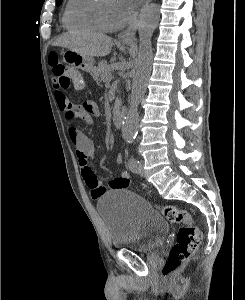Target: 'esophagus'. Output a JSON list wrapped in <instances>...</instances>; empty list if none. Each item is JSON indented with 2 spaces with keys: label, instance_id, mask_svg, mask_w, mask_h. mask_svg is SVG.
<instances>
[{
  "label": "esophagus",
  "instance_id": "34e87169",
  "mask_svg": "<svg viewBox=\"0 0 245 300\" xmlns=\"http://www.w3.org/2000/svg\"><path fill=\"white\" fill-rule=\"evenodd\" d=\"M143 1H144L143 7H145L151 2V0H143ZM137 27H138V21L131 24L126 30L122 31L118 35V40L121 42H133L135 40Z\"/></svg>",
  "mask_w": 245,
  "mask_h": 300
}]
</instances>
